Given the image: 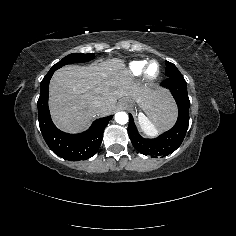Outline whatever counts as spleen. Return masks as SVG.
<instances>
[{"mask_svg": "<svg viewBox=\"0 0 236 236\" xmlns=\"http://www.w3.org/2000/svg\"><path fill=\"white\" fill-rule=\"evenodd\" d=\"M137 120L141 132L146 137L154 139L159 136V131L157 130L158 123L154 118L150 117L149 119L144 114L139 113Z\"/></svg>", "mask_w": 236, "mask_h": 236, "instance_id": "spleen-1", "label": "spleen"}]
</instances>
